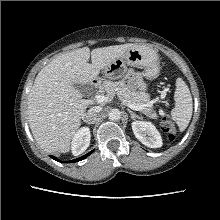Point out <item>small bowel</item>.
<instances>
[{
  "label": "small bowel",
  "mask_w": 220,
  "mask_h": 220,
  "mask_svg": "<svg viewBox=\"0 0 220 220\" xmlns=\"http://www.w3.org/2000/svg\"><path fill=\"white\" fill-rule=\"evenodd\" d=\"M136 84L138 85V87L141 89V90H144L145 89V83L144 81L142 80L141 76L140 75H136L135 78H134Z\"/></svg>",
  "instance_id": "small-bowel-1"
}]
</instances>
